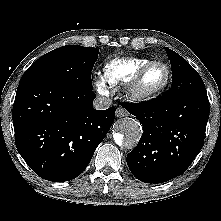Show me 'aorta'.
<instances>
[{
  "label": "aorta",
  "mask_w": 221,
  "mask_h": 221,
  "mask_svg": "<svg viewBox=\"0 0 221 221\" xmlns=\"http://www.w3.org/2000/svg\"><path fill=\"white\" fill-rule=\"evenodd\" d=\"M142 132L139 121L126 117L117 121L113 138L117 145L126 149H134L142 136Z\"/></svg>",
  "instance_id": "762f6f07"
}]
</instances>
